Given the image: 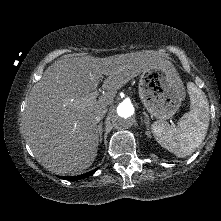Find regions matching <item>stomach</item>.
<instances>
[{
    "instance_id": "obj_1",
    "label": "stomach",
    "mask_w": 221,
    "mask_h": 221,
    "mask_svg": "<svg viewBox=\"0 0 221 221\" xmlns=\"http://www.w3.org/2000/svg\"><path fill=\"white\" fill-rule=\"evenodd\" d=\"M138 90L146 110L161 121L171 118L185 99L183 82L173 67L143 71Z\"/></svg>"
}]
</instances>
